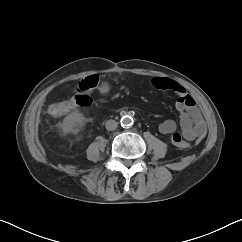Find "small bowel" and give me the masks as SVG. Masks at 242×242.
Returning a JSON list of instances; mask_svg holds the SVG:
<instances>
[{"label": "small bowel", "instance_id": "obj_1", "mask_svg": "<svg viewBox=\"0 0 242 242\" xmlns=\"http://www.w3.org/2000/svg\"><path fill=\"white\" fill-rule=\"evenodd\" d=\"M92 78L98 80L95 75L88 76L79 82L77 88ZM152 85L159 90L174 92L177 95L176 108L180 112V132H177L175 121L170 119L160 124L159 131L164 135H168L170 142L181 149H188L192 141L201 140L206 134V123L194 98L187 90L176 81L164 77L153 78ZM101 86L104 87L103 84ZM74 108L75 104L69 101L65 114Z\"/></svg>", "mask_w": 242, "mask_h": 242}]
</instances>
